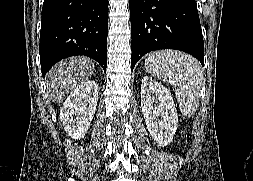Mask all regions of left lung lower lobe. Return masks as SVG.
Instances as JSON below:
<instances>
[{"instance_id":"0a47b994","label":"left lung lower lobe","mask_w":253,"mask_h":181,"mask_svg":"<svg viewBox=\"0 0 253 181\" xmlns=\"http://www.w3.org/2000/svg\"><path fill=\"white\" fill-rule=\"evenodd\" d=\"M131 69L146 53L177 49L204 65V43L195 0H129Z\"/></svg>"}]
</instances>
